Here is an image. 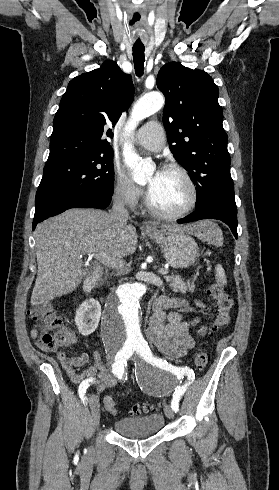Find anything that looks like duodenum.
Here are the masks:
<instances>
[{"mask_svg":"<svg viewBox=\"0 0 279 490\" xmlns=\"http://www.w3.org/2000/svg\"><path fill=\"white\" fill-rule=\"evenodd\" d=\"M101 276L102 268L100 266H95L93 273L84 281L83 288L87 295L93 292Z\"/></svg>","mask_w":279,"mask_h":490,"instance_id":"410a0bca","label":"duodenum"}]
</instances>
